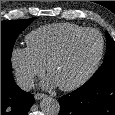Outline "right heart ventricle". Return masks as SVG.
Wrapping results in <instances>:
<instances>
[{"instance_id":"obj_1","label":"right heart ventricle","mask_w":115,"mask_h":115,"mask_svg":"<svg viewBox=\"0 0 115 115\" xmlns=\"http://www.w3.org/2000/svg\"><path fill=\"white\" fill-rule=\"evenodd\" d=\"M85 27L72 23H53L31 31L25 38L27 48L33 57L46 66L50 57L73 34Z\"/></svg>"}]
</instances>
